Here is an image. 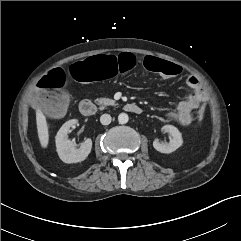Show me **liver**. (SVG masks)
<instances>
[{
    "mask_svg": "<svg viewBox=\"0 0 241 241\" xmlns=\"http://www.w3.org/2000/svg\"><path fill=\"white\" fill-rule=\"evenodd\" d=\"M36 124H37L39 142L43 148H47L49 143L48 125H47L46 117L39 109L36 110Z\"/></svg>",
    "mask_w": 241,
    "mask_h": 241,
    "instance_id": "1",
    "label": "liver"
}]
</instances>
